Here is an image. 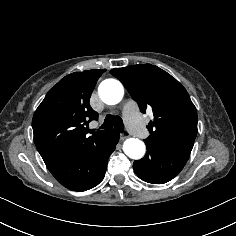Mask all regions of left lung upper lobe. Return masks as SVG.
I'll list each match as a JSON object with an SVG mask.
<instances>
[{"mask_svg": "<svg viewBox=\"0 0 236 236\" xmlns=\"http://www.w3.org/2000/svg\"><path fill=\"white\" fill-rule=\"evenodd\" d=\"M142 112L152 108L145 144L166 146L189 156L197 135V111L186 89L170 74L151 64L112 69Z\"/></svg>", "mask_w": 236, "mask_h": 236, "instance_id": "obj_1", "label": "left lung upper lobe"}]
</instances>
